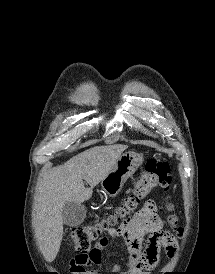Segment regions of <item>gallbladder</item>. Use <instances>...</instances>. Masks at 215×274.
Masks as SVG:
<instances>
[{"label":"gallbladder","mask_w":215,"mask_h":274,"mask_svg":"<svg viewBox=\"0 0 215 274\" xmlns=\"http://www.w3.org/2000/svg\"><path fill=\"white\" fill-rule=\"evenodd\" d=\"M86 212L84 205L66 202L62 210L63 222L71 227L78 226L84 221Z\"/></svg>","instance_id":"1"}]
</instances>
